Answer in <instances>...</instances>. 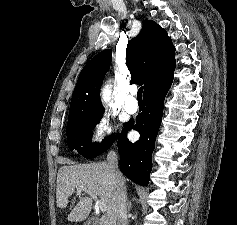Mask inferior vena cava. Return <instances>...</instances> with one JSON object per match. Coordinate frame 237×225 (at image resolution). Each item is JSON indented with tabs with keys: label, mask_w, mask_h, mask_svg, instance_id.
<instances>
[{
	"label": "inferior vena cava",
	"mask_w": 237,
	"mask_h": 225,
	"mask_svg": "<svg viewBox=\"0 0 237 225\" xmlns=\"http://www.w3.org/2000/svg\"><path fill=\"white\" fill-rule=\"evenodd\" d=\"M107 163L116 181L117 225H127V196L124 178L118 169V158L114 151L108 153Z\"/></svg>",
	"instance_id": "1"
}]
</instances>
